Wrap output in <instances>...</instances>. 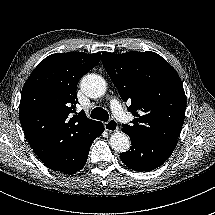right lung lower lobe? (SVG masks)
<instances>
[{
	"label": "right lung lower lobe",
	"instance_id": "obj_1",
	"mask_svg": "<svg viewBox=\"0 0 215 215\" xmlns=\"http://www.w3.org/2000/svg\"><path fill=\"white\" fill-rule=\"evenodd\" d=\"M104 131V126L97 121L87 128L81 135L72 140L69 145L68 158L65 162L48 166L54 171H60L64 174H72L83 168L87 161L88 153L92 142Z\"/></svg>",
	"mask_w": 215,
	"mask_h": 215
}]
</instances>
